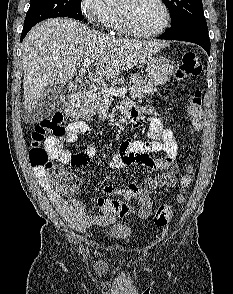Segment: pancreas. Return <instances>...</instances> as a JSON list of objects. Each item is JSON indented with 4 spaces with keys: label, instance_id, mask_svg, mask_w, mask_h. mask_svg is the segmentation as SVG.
I'll use <instances>...</instances> for the list:
<instances>
[{
    "label": "pancreas",
    "instance_id": "cf45deb5",
    "mask_svg": "<svg viewBox=\"0 0 233 294\" xmlns=\"http://www.w3.org/2000/svg\"><path fill=\"white\" fill-rule=\"evenodd\" d=\"M133 86L129 89L130 96L132 98H144L147 95H152L157 91L155 85H153L149 80L143 79L139 75H133L131 77ZM111 88H115V85H112ZM104 92L98 88H91L85 92L84 101L79 107V116L83 119L90 121L93 119L96 111L99 109L101 103L106 99Z\"/></svg>",
    "mask_w": 233,
    "mask_h": 294
}]
</instances>
